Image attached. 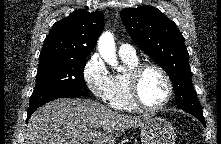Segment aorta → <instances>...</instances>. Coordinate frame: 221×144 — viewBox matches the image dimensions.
<instances>
[{
	"label": "aorta",
	"instance_id": "aorta-1",
	"mask_svg": "<svg viewBox=\"0 0 221 144\" xmlns=\"http://www.w3.org/2000/svg\"><path fill=\"white\" fill-rule=\"evenodd\" d=\"M98 51L104 61L110 66L116 68L119 72L124 70L123 67L118 65L115 52V41L111 32L106 31L102 33L98 40Z\"/></svg>",
	"mask_w": 221,
	"mask_h": 144
}]
</instances>
